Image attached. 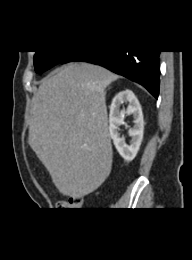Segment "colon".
Segmentation results:
<instances>
[{"label": "colon", "mask_w": 192, "mask_h": 260, "mask_svg": "<svg viewBox=\"0 0 192 260\" xmlns=\"http://www.w3.org/2000/svg\"><path fill=\"white\" fill-rule=\"evenodd\" d=\"M82 203H83L82 197H80V196H72V197H70L66 201H60L58 203V208L64 209V210L76 209V208L81 207Z\"/></svg>", "instance_id": "5ec220e1"}]
</instances>
